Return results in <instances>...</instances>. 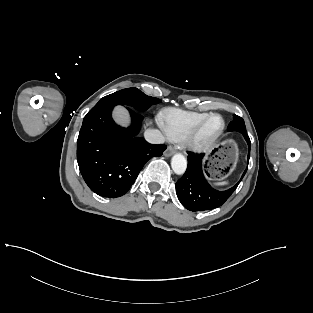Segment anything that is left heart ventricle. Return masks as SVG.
I'll return each instance as SVG.
<instances>
[{
  "label": "left heart ventricle",
  "instance_id": "left-heart-ventricle-1",
  "mask_svg": "<svg viewBox=\"0 0 313 313\" xmlns=\"http://www.w3.org/2000/svg\"><path fill=\"white\" fill-rule=\"evenodd\" d=\"M221 127V120L218 117L211 118L203 127L200 133V140L206 141L213 137Z\"/></svg>",
  "mask_w": 313,
  "mask_h": 313
}]
</instances>
